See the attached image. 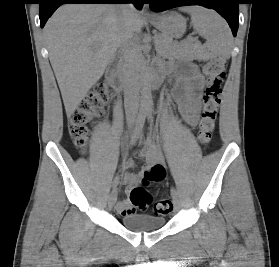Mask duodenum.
Returning <instances> with one entry per match:
<instances>
[{"label": "duodenum", "mask_w": 279, "mask_h": 267, "mask_svg": "<svg viewBox=\"0 0 279 267\" xmlns=\"http://www.w3.org/2000/svg\"><path fill=\"white\" fill-rule=\"evenodd\" d=\"M107 79L115 86V88L120 92H126V85L123 80V75L121 72V67L118 64L112 65L107 72ZM160 80V74L154 72L145 75L142 80V85H151L157 83Z\"/></svg>", "instance_id": "duodenum-1"}]
</instances>
